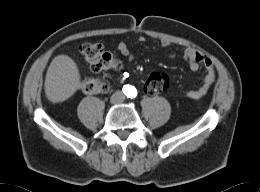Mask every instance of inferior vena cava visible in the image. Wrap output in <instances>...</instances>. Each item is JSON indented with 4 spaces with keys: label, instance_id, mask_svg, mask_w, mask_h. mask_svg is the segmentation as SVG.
Wrapping results in <instances>:
<instances>
[{
    "label": "inferior vena cava",
    "instance_id": "inferior-vena-cava-1",
    "mask_svg": "<svg viewBox=\"0 0 260 192\" xmlns=\"http://www.w3.org/2000/svg\"><path fill=\"white\" fill-rule=\"evenodd\" d=\"M112 98L114 102H122L124 100V95L121 92H116Z\"/></svg>",
    "mask_w": 260,
    "mask_h": 192
}]
</instances>
